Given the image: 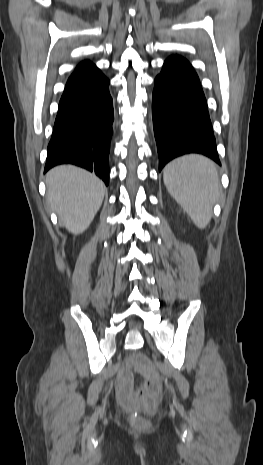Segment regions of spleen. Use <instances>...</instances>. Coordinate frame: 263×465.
<instances>
[{"label":"spleen","instance_id":"spleen-1","mask_svg":"<svg viewBox=\"0 0 263 465\" xmlns=\"http://www.w3.org/2000/svg\"><path fill=\"white\" fill-rule=\"evenodd\" d=\"M163 179L170 195L194 224L200 229L205 228L220 189L215 164L201 155H186L165 167Z\"/></svg>","mask_w":263,"mask_h":465}]
</instances>
